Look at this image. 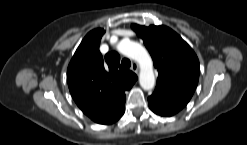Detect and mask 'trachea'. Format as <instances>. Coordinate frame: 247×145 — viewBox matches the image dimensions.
Listing matches in <instances>:
<instances>
[{
  "label": "trachea",
  "mask_w": 247,
  "mask_h": 145,
  "mask_svg": "<svg viewBox=\"0 0 247 145\" xmlns=\"http://www.w3.org/2000/svg\"><path fill=\"white\" fill-rule=\"evenodd\" d=\"M121 64L125 69H128L131 66V62L127 58L122 59Z\"/></svg>",
  "instance_id": "trachea-1"
}]
</instances>
